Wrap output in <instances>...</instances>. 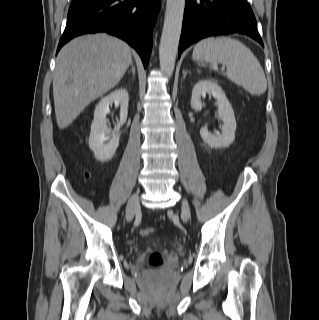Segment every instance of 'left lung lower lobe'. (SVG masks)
Listing matches in <instances>:
<instances>
[{"label":"left lung lower lobe","instance_id":"obj_1","mask_svg":"<svg viewBox=\"0 0 319 320\" xmlns=\"http://www.w3.org/2000/svg\"><path fill=\"white\" fill-rule=\"evenodd\" d=\"M231 33L247 35L263 46L246 0H186L179 57L185 48L202 38Z\"/></svg>","mask_w":319,"mask_h":320}]
</instances>
